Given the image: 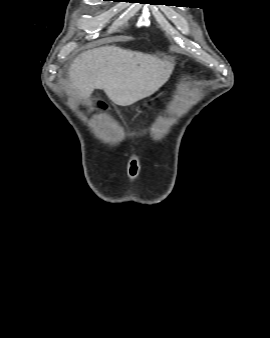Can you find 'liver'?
Masks as SVG:
<instances>
[{"label":"liver","mask_w":270,"mask_h":338,"mask_svg":"<svg viewBox=\"0 0 270 338\" xmlns=\"http://www.w3.org/2000/svg\"><path fill=\"white\" fill-rule=\"evenodd\" d=\"M174 63L164 57L104 46L78 55L69 69L70 87L81 98L103 89L117 105L151 96L170 77Z\"/></svg>","instance_id":"liver-1"}]
</instances>
